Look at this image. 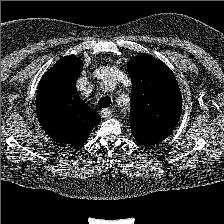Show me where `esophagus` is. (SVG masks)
Listing matches in <instances>:
<instances>
[{"label":"esophagus","mask_w":224,"mask_h":224,"mask_svg":"<svg viewBox=\"0 0 224 224\" xmlns=\"http://www.w3.org/2000/svg\"><path fill=\"white\" fill-rule=\"evenodd\" d=\"M113 115V112L112 110L110 109H103L102 112H101V116L104 118V119H109L111 118Z\"/></svg>","instance_id":"obj_1"}]
</instances>
